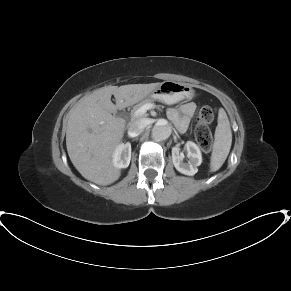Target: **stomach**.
<instances>
[{"label": "stomach", "mask_w": 291, "mask_h": 291, "mask_svg": "<svg viewBox=\"0 0 291 291\" xmlns=\"http://www.w3.org/2000/svg\"><path fill=\"white\" fill-rule=\"evenodd\" d=\"M193 94L194 90L189 85L174 81H164L150 95L153 98L163 100L167 104H173L184 98H189Z\"/></svg>", "instance_id": "obj_1"}]
</instances>
